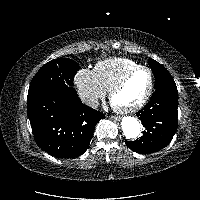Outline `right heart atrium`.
I'll return each instance as SVG.
<instances>
[{"instance_id":"d8ad5b80","label":"right heart atrium","mask_w":200,"mask_h":200,"mask_svg":"<svg viewBox=\"0 0 200 200\" xmlns=\"http://www.w3.org/2000/svg\"><path fill=\"white\" fill-rule=\"evenodd\" d=\"M73 81L80 99L88 107H97L98 103L107 93V90L97 80L95 72L92 69H79Z\"/></svg>"}]
</instances>
